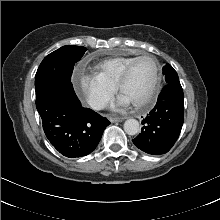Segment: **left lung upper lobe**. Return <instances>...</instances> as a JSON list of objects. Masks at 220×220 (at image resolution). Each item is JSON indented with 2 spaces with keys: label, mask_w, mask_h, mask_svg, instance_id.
<instances>
[{
  "label": "left lung upper lobe",
  "mask_w": 220,
  "mask_h": 220,
  "mask_svg": "<svg viewBox=\"0 0 220 220\" xmlns=\"http://www.w3.org/2000/svg\"><path fill=\"white\" fill-rule=\"evenodd\" d=\"M163 74L165 75V81L167 84L179 81L176 71L173 69V67L170 64H166L163 67Z\"/></svg>",
  "instance_id": "left-lung-upper-lobe-1"
}]
</instances>
